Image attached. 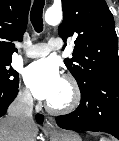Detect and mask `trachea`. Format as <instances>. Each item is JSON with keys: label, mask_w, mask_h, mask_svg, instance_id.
<instances>
[{"label": "trachea", "mask_w": 119, "mask_h": 141, "mask_svg": "<svg viewBox=\"0 0 119 141\" xmlns=\"http://www.w3.org/2000/svg\"><path fill=\"white\" fill-rule=\"evenodd\" d=\"M44 0H35L30 13V20L36 32H41L43 30V8Z\"/></svg>", "instance_id": "obj_1"}]
</instances>
